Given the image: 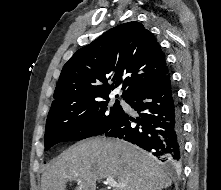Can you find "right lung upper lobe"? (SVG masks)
Here are the masks:
<instances>
[{"label": "right lung upper lobe", "mask_w": 221, "mask_h": 190, "mask_svg": "<svg viewBox=\"0 0 221 190\" xmlns=\"http://www.w3.org/2000/svg\"><path fill=\"white\" fill-rule=\"evenodd\" d=\"M167 74L164 53L152 33L139 22L124 23L76 51L66 62L51 109L108 97L120 85L126 99Z\"/></svg>", "instance_id": "right-lung-upper-lobe-1"}]
</instances>
